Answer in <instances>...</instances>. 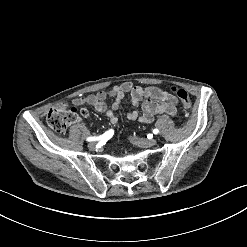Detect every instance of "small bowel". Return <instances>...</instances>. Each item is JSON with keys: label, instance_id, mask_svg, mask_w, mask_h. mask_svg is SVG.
<instances>
[{"label": "small bowel", "instance_id": "1", "mask_svg": "<svg viewBox=\"0 0 247 247\" xmlns=\"http://www.w3.org/2000/svg\"><path fill=\"white\" fill-rule=\"evenodd\" d=\"M126 95H129L133 105L141 106L142 114L136 111L129 112L127 119L134 121L139 120L141 123L149 124L154 120L155 115L166 113L170 116H175L177 113V98L169 92H166L158 87H146L134 85L131 82H123L121 84L113 86L108 91H98L87 96H80L73 99L75 106L89 105L96 111L105 113L112 125H116L118 117L116 111L120 107L121 103L125 99ZM107 98H113V103L108 106L105 103ZM61 107H65L66 104L62 103ZM80 114L84 118L90 117V111L87 108L80 109Z\"/></svg>", "mask_w": 247, "mask_h": 247}]
</instances>
